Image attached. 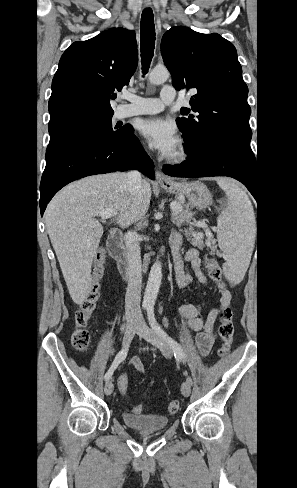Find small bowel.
Returning a JSON list of instances; mask_svg holds the SVG:
<instances>
[{
    "mask_svg": "<svg viewBox=\"0 0 297 488\" xmlns=\"http://www.w3.org/2000/svg\"><path fill=\"white\" fill-rule=\"evenodd\" d=\"M170 249L174 261L175 277L179 288L190 287L194 282L200 285L207 283V277L202 271V261L196 248L188 249L182 256L180 249L182 235L173 232L170 235ZM187 265H186V264ZM231 303V293L225 288H220V305L212 309L205 318L202 317V306L199 304H184L178 308L179 315L186 319V326L196 332V343L201 355H207L215 341V322L218 314L228 308ZM130 363L142 374L146 373V367L138 357H133Z\"/></svg>",
    "mask_w": 297,
    "mask_h": 488,
    "instance_id": "c3829d8e",
    "label": "small bowel"
}]
</instances>
